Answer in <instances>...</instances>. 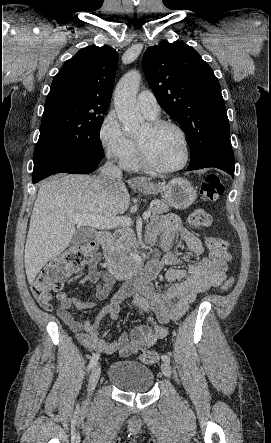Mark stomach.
Returning a JSON list of instances; mask_svg holds the SVG:
<instances>
[{
    "instance_id": "0dacf381",
    "label": "stomach",
    "mask_w": 271,
    "mask_h": 443,
    "mask_svg": "<svg viewBox=\"0 0 271 443\" xmlns=\"http://www.w3.org/2000/svg\"><path fill=\"white\" fill-rule=\"evenodd\" d=\"M140 182H142V186H138V192L146 194V196L161 192L166 204L176 210H186L197 198L196 190L192 184L183 178H174L168 184H153L147 180H140Z\"/></svg>"
}]
</instances>
